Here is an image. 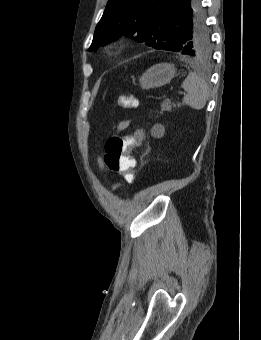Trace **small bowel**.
Returning a JSON list of instances; mask_svg holds the SVG:
<instances>
[{
    "label": "small bowel",
    "mask_w": 261,
    "mask_h": 340,
    "mask_svg": "<svg viewBox=\"0 0 261 340\" xmlns=\"http://www.w3.org/2000/svg\"><path fill=\"white\" fill-rule=\"evenodd\" d=\"M129 124H130V120L125 119V120L121 121L118 124L117 129L119 131L120 130H124V129H126L129 126ZM97 162H98V165H99L100 169H103L104 168V164H103V161H102V159L100 157L97 159ZM119 186H120V184H115L114 185V189L118 188Z\"/></svg>",
    "instance_id": "1"
}]
</instances>
